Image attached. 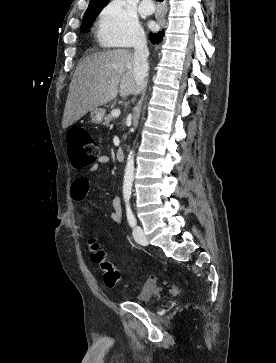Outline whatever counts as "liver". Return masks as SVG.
Here are the masks:
<instances>
[{
    "instance_id": "6515ba94",
    "label": "liver",
    "mask_w": 276,
    "mask_h": 363,
    "mask_svg": "<svg viewBox=\"0 0 276 363\" xmlns=\"http://www.w3.org/2000/svg\"><path fill=\"white\" fill-rule=\"evenodd\" d=\"M137 85L133 69V53L114 49L94 53L77 66L69 86L62 127L66 129L89 111L116 98L135 94Z\"/></svg>"
}]
</instances>
